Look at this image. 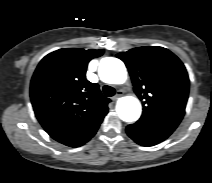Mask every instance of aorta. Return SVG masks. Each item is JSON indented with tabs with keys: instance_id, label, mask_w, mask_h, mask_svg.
Wrapping results in <instances>:
<instances>
[{
	"instance_id": "aorta-1",
	"label": "aorta",
	"mask_w": 212,
	"mask_h": 183,
	"mask_svg": "<svg viewBox=\"0 0 212 183\" xmlns=\"http://www.w3.org/2000/svg\"><path fill=\"white\" fill-rule=\"evenodd\" d=\"M100 79L109 84H123L127 79L124 63L113 57L101 59L99 64ZM119 117L125 122H135L141 115V104L135 97L121 98L116 106Z\"/></svg>"
}]
</instances>
